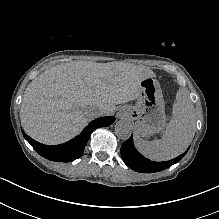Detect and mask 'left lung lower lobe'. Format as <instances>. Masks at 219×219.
Wrapping results in <instances>:
<instances>
[{"instance_id":"obj_1","label":"left lung lower lobe","mask_w":219,"mask_h":219,"mask_svg":"<svg viewBox=\"0 0 219 219\" xmlns=\"http://www.w3.org/2000/svg\"><path fill=\"white\" fill-rule=\"evenodd\" d=\"M185 154L186 152L167 162H155L145 158L135 149L132 137L125 141L121 147V156L126 165L140 173H154L165 170L179 162Z\"/></svg>"}]
</instances>
